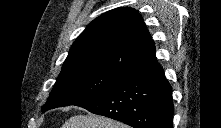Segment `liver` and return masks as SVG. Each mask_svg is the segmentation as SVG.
Returning a JSON list of instances; mask_svg holds the SVG:
<instances>
[{"label":"liver","mask_w":221,"mask_h":128,"mask_svg":"<svg viewBox=\"0 0 221 128\" xmlns=\"http://www.w3.org/2000/svg\"><path fill=\"white\" fill-rule=\"evenodd\" d=\"M62 128H128V126L113 119L89 114L71 117Z\"/></svg>","instance_id":"obj_1"}]
</instances>
